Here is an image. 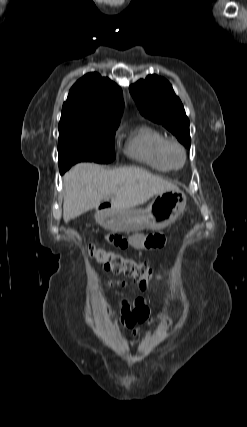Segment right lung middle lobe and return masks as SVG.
<instances>
[{
    "label": "right lung middle lobe",
    "instance_id": "1",
    "mask_svg": "<svg viewBox=\"0 0 247 427\" xmlns=\"http://www.w3.org/2000/svg\"><path fill=\"white\" fill-rule=\"evenodd\" d=\"M118 124L103 125L76 116H61L58 155L60 172L80 161L110 163L115 159L114 137Z\"/></svg>",
    "mask_w": 247,
    "mask_h": 427
}]
</instances>
